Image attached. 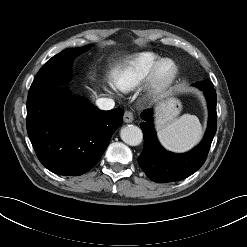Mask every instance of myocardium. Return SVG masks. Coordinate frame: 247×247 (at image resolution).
I'll list each match as a JSON object with an SVG mask.
<instances>
[{
  "label": "myocardium",
  "instance_id": "obj_1",
  "mask_svg": "<svg viewBox=\"0 0 247 247\" xmlns=\"http://www.w3.org/2000/svg\"><path fill=\"white\" fill-rule=\"evenodd\" d=\"M170 66L167 73L163 72L165 65ZM178 66L170 58L160 59L152 68L144 84V94L148 98L155 97L165 91L176 79L178 75Z\"/></svg>",
  "mask_w": 247,
  "mask_h": 247
}]
</instances>
